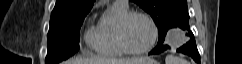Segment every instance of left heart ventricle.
<instances>
[{"label": "left heart ventricle", "mask_w": 242, "mask_h": 64, "mask_svg": "<svg viewBox=\"0 0 242 64\" xmlns=\"http://www.w3.org/2000/svg\"><path fill=\"white\" fill-rule=\"evenodd\" d=\"M128 45L133 49H143L151 41L152 29L148 21L142 17H133L125 31Z\"/></svg>", "instance_id": "obj_1"}]
</instances>
